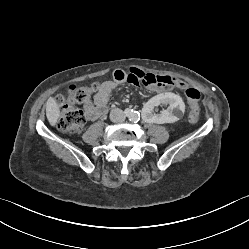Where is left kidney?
Segmentation results:
<instances>
[{"label":"left kidney","mask_w":249,"mask_h":249,"mask_svg":"<svg viewBox=\"0 0 249 249\" xmlns=\"http://www.w3.org/2000/svg\"><path fill=\"white\" fill-rule=\"evenodd\" d=\"M185 110V99L180 94L163 92L152 98L143 108V120L148 125L169 124L177 121Z\"/></svg>","instance_id":"1"}]
</instances>
